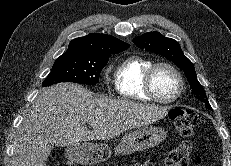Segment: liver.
Here are the masks:
<instances>
[{
	"instance_id": "6515ba94",
	"label": "liver",
	"mask_w": 231,
	"mask_h": 166,
	"mask_svg": "<svg viewBox=\"0 0 231 166\" xmlns=\"http://www.w3.org/2000/svg\"><path fill=\"white\" fill-rule=\"evenodd\" d=\"M167 110V107L95 97L88 89L73 83L42 89L14 140L15 166H44L54 145L113 139L124 131L146 127L164 118Z\"/></svg>"
}]
</instances>
